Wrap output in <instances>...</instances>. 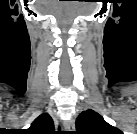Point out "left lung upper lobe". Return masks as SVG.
Wrapping results in <instances>:
<instances>
[{"instance_id":"1","label":"left lung upper lobe","mask_w":137,"mask_h":134,"mask_svg":"<svg viewBox=\"0 0 137 134\" xmlns=\"http://www.w3.org/2000/svg\"><path fill=\"white\" fill-rule=\"evenodd\" d=\"M77 134H123L111 126L97 112L89 109L83 111L76 120Z\"/></svg>"}]
</instances>
